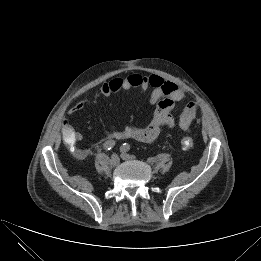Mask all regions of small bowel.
Listing matches in <instances>:
<instances>
[{
	"mask_svg": "<svg viewBox=\"0 0 261 261\" xmlns=\"http://www.w3.org/2000/svg\"><path fill=\"white\" fill-rule=\"evenodd\" d=\"M130 89H138L140 91L152 89L149 102L155 107L153 116L143 126L127 125L122 129L112 128L109 133L111 140L135 139L141 142H151L158 137L161 127L166 126L169 129L175 127L176 121L171 111L184 98V91L177 84L167 81L156 74L142 75L131 73L125 77H114L98 89L96 97H109L121 90ZM86 105L88 103L82 100L76 102L70 108L69 115L82 110ZM196 115L197 105L193 102L186 104L178 120L179 127L183 131H187L196 119ZM67 131L72 132L71 139L67 138ZM63 139L68 145L74 146L78 141L82 140V135L71 126L65 125L63 128ZM76 153L78 156L84 157L89 153V150L79 149Z\"/></svg>",
	"mask_w": 261,
	"mask_h": 261,
	"instance_id": "c3829d8e",
	"label": "small bowel"
}]
</instances>
